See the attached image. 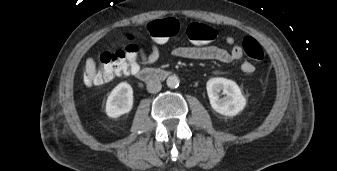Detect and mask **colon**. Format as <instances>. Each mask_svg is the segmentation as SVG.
Returning <instances> with one entry per match:
<instances>
[{"instance_id": "obj_1", "label": "colon", "mask_w": 337, "mask_h": 171, "mask_svg": "<svg viewBox=\"0 0 337 171\" xmlns=\"http://www.w3.org/2000/svg\"><path fill=\"white\" fill-rule=\"evenodd\" d=\"M148 33L159 45H166L179 32V21L175 18L153 20L148 24ZM186 34L188 39L197 45L212 42L217 37V30L209 25L193 22L188 25ZM246 55L262 62L265 53L261 44L253 37L247 36L242 42ZM139 47L129 45L124 50L106 52L97 60L96 69L84 74L87 86L102 85L114 81L122 76L133 73L138 68Z\"/></svg>"}]
</instances>
